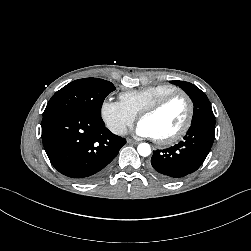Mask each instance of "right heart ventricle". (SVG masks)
Wrapping results in <instances>:
<instances>
[{
  "label": "right heart ventricle",
  "instance_id": "obj_1",
  "mask_svg": "<svg viewBox=\"0 0 251 251\" xmlns=\"http://www.w3.org/2000/svg\"><path fill=\"white\" fill-rule=\"evenodd\" d=\"M176 90L177 88L171 84L152 85L140 90L121 93L120 102L136 117L157 100Z\"/></svg>",
  "mask_w": 251,
  "mask_h": 251
}]
</instances>
